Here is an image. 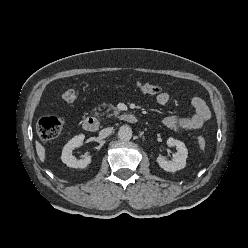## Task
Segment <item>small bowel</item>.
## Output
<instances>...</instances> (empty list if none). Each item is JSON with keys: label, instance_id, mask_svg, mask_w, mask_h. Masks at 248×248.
I'll return each mask as SVG.
<instances>
[{"label": "small bowel", "instance_id": "obj_1", "mask_svg": "<svg viewBox=\"0 0 248 248\" xmlns=\"http://www.w3.org/2000/svg\"><path fill=\"white\" fill-rule=\"evenodd\" d=\"M159 105H167L170 95L167 92H161L156 97ZM194 108V114L188 117L167 116L163 119V124L171 129H200L211 118V112L206 102L198 96L191 99Z\"/></svg>", "mask_w": 248, "mask_h": 248}]
</instances>
